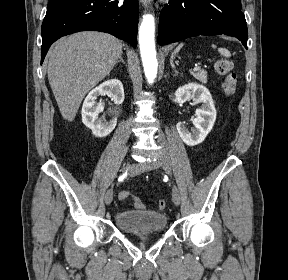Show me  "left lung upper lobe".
I'll return each mask as SVG.
<instances>
[{
	"instance_id": "left-lung-upper-lobe-1",
	"label": "left lung upper lobe",
	"mask_w": 288,
	"mask_h": 280,
	"mask_svg": "<svg viewBox=\"0 0 288 280\" xmlns=\"http://www.w3.org/2000/svg\"><path fill=\"white\" fill-rule=\"evenodd\" d=\"M233 2H235L237 5L241 6L240 0H231Z\"/></svg>"
}]
</instances>
